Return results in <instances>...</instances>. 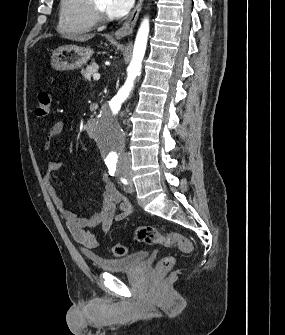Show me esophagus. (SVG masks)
<instances>
[{
	"label": "esophagus",
	"instance_id": "esophagus-1",
	"mask_svg": "<svg viewBox=\"0 0 285 335\" xmlns=\"http://www.w3.org/2000/svg\"><path fill=\"white\" fill-rule=\"evenodd\" d=\"M143 0H138L136 7L134 8L132 14L125 21V23L115 32L116 38L126 37L133 32L134 26L136 24L137 18L141 11Z\"/></svg>",
	"mask_w": 285,
	"mask_h": 335
}]
</instances>
